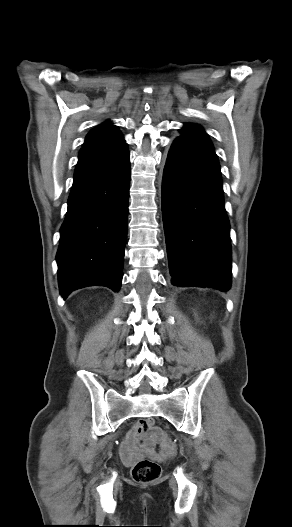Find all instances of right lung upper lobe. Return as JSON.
<instances>
[{"instance_id":"1","label":"right lung upper lobe","mask_w":292,"mask_h":527,"mask_svg":"<svg viewBox=\"0 0 292 527\" xmlns=\"http://www.w3.org/2000/svg\"><path fill=\"white\" fill-rule=\"evenodd\" d=\"M124 141L123 135L118 128L110 123L100 124L87 135L84 147L113 146Z\"/></svg>"}]
</instances>
